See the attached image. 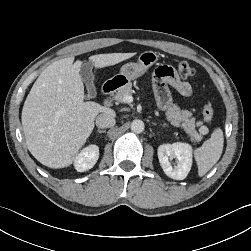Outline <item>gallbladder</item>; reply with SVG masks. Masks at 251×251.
<instances>
[{
	"label": "gallbladder",
	"mask_w": 251,
	"mask_h": 251,
	"mask_svg": "<svg viewBox=\"0 0 251 251\" xmlns=\"http://www.w3.org/2000/svg\"><path fill=\"white\" fill-rule=\"evenodd\" d=\"M93 63L92 62H85L81 65L80 68V75L83 81L86 84L88 90V98H94L97 94L96 88L94 85V75L92 72Z\"/></svg>",
	"instance_id": "bac80fb5"
}]
</instances>
